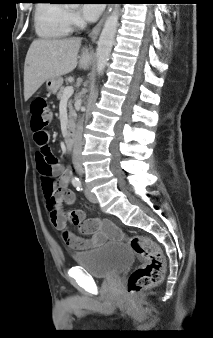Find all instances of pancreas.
<instances>
[{
  "mask_svg": "<svg viewBox=\"0 0 213 338\" xmlns=\"http://www.w3.org/2000/svg\"><path fill=\"white\" fill-rule=\"evenodd\" d=\"M64 87H61L59 89V92L57 93V99L58 100H61L62 99V96H63V93H64ZM68 109H69V120H68V124L71 125L74 123V120L76 118V112L75 110L73 109V106H72V100H69L68 101Z\"/></svg>",
  "mask_w": 213,
  "mask_h": 338,
  "instance_id": "obj_1",
  "label": "pancreas"
}]
</instances>
